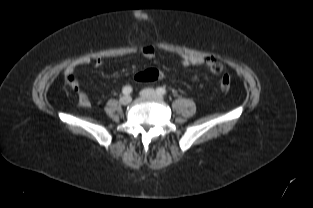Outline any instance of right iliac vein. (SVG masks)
Wrapping results in <instances>:
<instances>
[{
    "label": "right iliac vein",
    "mask_w": 313,
    "mask_h": 208,
    "mask_svg": "<svg viewBox=\"0 0 313 208\" xmlns=\"http://www.w3.org/2000/svg\"><path fill=\"white\" fill-rule=\"evenodd\" d=\"M131 100L132 99L130 96L125 95V96H122L119 101L122 105H128L131 102Z\"/></svg>",
    "instance_id": "63e3f726"
}]
</instances>
